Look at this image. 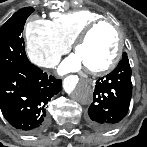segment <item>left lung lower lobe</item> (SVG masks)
I'll list each match as a JSON object with an SVG mask.
<instances>
[{"label":"left lung lower lobe","instance_id":"left-lung-lower-lobe-1","mask_svg":"<svg viewBox=\"0 0 147 147\" xmlns=\"http://www.w3.org/2000/svg\"><path fill=\"white\" fill-rule=\"evenodd\" d=\"M131 96V67L124 57L110 74L97 80L88 123L98 130L113 128L128 113Z\"/></svg>","mask_w":147,"mask_h":147}]
</instances>
